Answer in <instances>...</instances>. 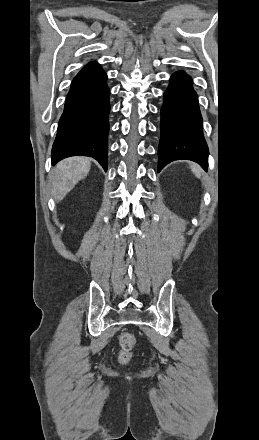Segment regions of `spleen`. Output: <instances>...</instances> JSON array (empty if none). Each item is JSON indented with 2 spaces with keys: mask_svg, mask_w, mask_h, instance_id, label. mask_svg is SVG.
I'll return each instance as SVG.
<instances>
[{
  "mask_svg": "<svg viewBox=\"0 0 259 440\" xmlns=\"http://www.w3.org/2000/svg\"><path fill=\"white\" fill-rule=\"evenodd\" d=\"M190 167H191V170L195 174L196 177H198V178L201 177V169H200V167H198L195 164H192Z\"/></svg>",
  "mask_w": 259,
  "mask_h": 440,
  "instance_id": "spleen-1",
  "label": "spleen"
}]
</instances>
